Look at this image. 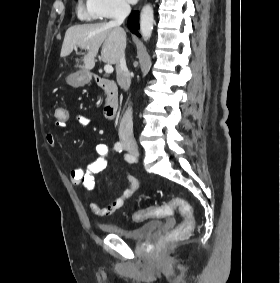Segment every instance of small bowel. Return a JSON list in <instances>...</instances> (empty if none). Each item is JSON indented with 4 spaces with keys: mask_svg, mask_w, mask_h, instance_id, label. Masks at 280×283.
I'll use <instances>...</instances> for the list:
<instances>
[{
    "mask_svg": "<svg viewBox=\"0 0 280 283\" xmlns=\"http://www.w3.org/2000/svg\"><path fill=\"white\" fill-rule=\"evenodd\" d=\"M69 120V119H68ZM76 120L80 126H87L89 119L83 114L76 115ZM67 122H55L57 128H64ZM46 143L50 147L56 145V134L53 131L47 132L45 136ZM97 158L89 163L85 168H73L69 171L71 182L81 186L86 191H91L95 186V175L106 170L110 166L108 158V147L100 143L95 147ZM128 186L122 195L106 206H101L95 201L89 203L90 210L99 217H108L120 209L138 190L139 182L134 176H127Z\"/></svg>",
    "mask_w": 280,
    "mask_h": 283,
    "instance_id": "small-bowel-1",
    "label": "small bowel"
}]
</instances>
